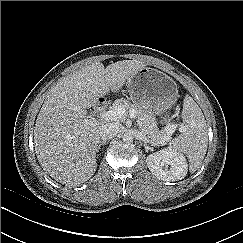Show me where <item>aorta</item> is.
<instances>
[{
	"instance_id": "aorta-1",
	"label": "aorta",
	"mask_w": 243,
	"mask_h": 243,
	"mask_svg": "<svg viewBox=\"0 0 243 243\" xmlns=\"http://www.w3.org/2000/svg\"><path fill=\"white\" fill-rule=\"evenodd\" d=\"M122 139L125 143H131L133 142V135L131 133H125Z\"/></svg>"
}]
</instances>
